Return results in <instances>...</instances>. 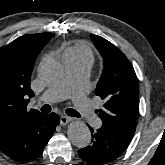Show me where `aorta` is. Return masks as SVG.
I'll use <instances>...</instances> for the list:
<instances>
[{"label":"aorta","mask_w":165,"mask_h":165,"mask_svg":"<svg viewBox=\"0 0 165 165\" xmlns=\"http://www.w3.org/2000/svg\"><path fill=\"white\" fill-rule=\"evenodd\" d=\"M38 73L44 81L55 83L61 79L63 67L58 61L49 59L40 64ZM67 136L71 143L78 148H84L91 142V132L88 126L80 120L68 125Z\"/></svg>","instance_id":"obj_1"}]
</instances>
